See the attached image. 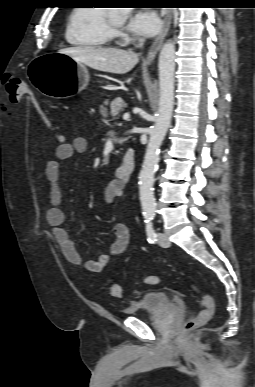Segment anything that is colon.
<instances>
[{
  "label": "colon",
  "instance_id": "obj_1",
  "mask_svg": "<svg viewBox=\"0 0 255 387\" xmlns=\"http://www.w3.org/2000/svg\"><path fill=\"white\" fill-rule=\"evenodd\" d=\"M23 95H31L29 87L20 79L18 78H12L8 80L6 84V96L7 99L10 103H17L21 99ZM33 99V104L35 107L42 113L43 119L46 123V125L49 127L54 132L55 139L56 141L61 144L63 143V136L56 132L55 128L53 127L51 121L49 118L46 116L45 112L40 106V103L35 97H32ZM145 283L150 284V285H155L159 283V278L154 275L147 276L145 278ZM190 289L197 294L202 301L203 304V309L193 318L188 320L186 324L183 327V332L184 333H189L202 325L206 324L214 315L215 311V302L214 299L210 294H208L206 291L201 289L195 284H190L189 285ZM107 290L109 294L112 297L118 298L122 295V288L121 286L116 283V282H109L107 285Z\"/></svg>",
  "mask_w": 255,
  "mask_h": 387
}]
</instances>
